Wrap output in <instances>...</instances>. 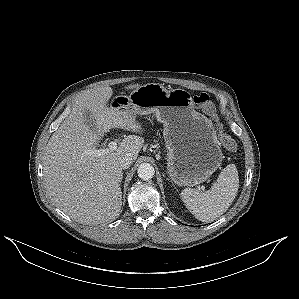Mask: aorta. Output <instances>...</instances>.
<instances>
[{
	"label": "aorta",
	"instance_id": "1",
	"mask_svg": "<svg viewBox=\"0 0 299 299\" xmlns=\"http://www.w3.org/2000/svg\"><path fill=\"white\" fill-rule=\"evenodd\" d=\"M138 176L142 180H149L153 178L155 174L154 167L149 163H143L138 167Z\"/></svg>",
	"mask_w": 299,
	"mask_h": 299
}]
</instances>
